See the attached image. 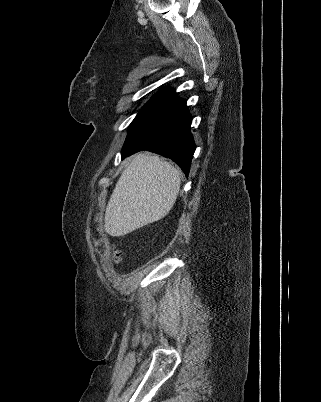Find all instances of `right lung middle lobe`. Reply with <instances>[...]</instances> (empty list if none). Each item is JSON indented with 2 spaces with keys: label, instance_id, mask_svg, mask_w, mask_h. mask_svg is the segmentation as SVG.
Returning <instances> with one entry per match:
<instances>
[{
  "label": "right lung middle lobe",
  "instance_id": "1",
  "mask_svg": "<svg viewBox=\"0 0 321 402\" xmlns=\"http://www.w3.org/2000/svg\"><path fill=\"white\" fill-rule=\"evenodd\" d=\"M173 92V89H164L163 91H160L156 95H154L139 111L135 119L132 121L131 125L135 124L138 120H140L142 117L147 115L150 111H152L154 108H156L159 104H161L171 93Z\"/></svg>",
  "mask_w": 321,
  "mask_h": 402
}]
</instances>
